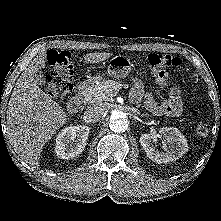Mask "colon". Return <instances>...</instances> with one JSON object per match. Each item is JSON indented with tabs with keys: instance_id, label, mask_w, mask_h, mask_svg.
I'll use <instances>...</instances> for the list:
<instances>
[{
	"instance_id": "obj_1",
	"label": "colon",
	"mask_w": 221,
	"mask_h": 221,
	"mask_svg": "<svg viewBox=\"0 0 221 221\" xmlns=\"http://www.w3.org/2000/svg\"><path fill=\"white\" fill-rule=\"evenodd\" d=\"M46 58L48 65L52 67V71L45 77L47 91L55 99L62 98L72 90L74 66L71 53L68 51L50 50ZM148 63L155 74L157 83L167 86L170 78L165 68L179 66L182 61L177 56L151 53L148 56ZM210 129V124L205 118H201L198 121L197 132L200 135H208Z\"/></svg>"
}]
</instances>
